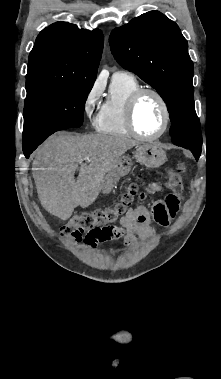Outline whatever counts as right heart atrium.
Instances as JSON below:
<instances>
[{
  "label": "right heart atrium",
  "instance_id": "obj_1",
  "mask_svg": "<svg viewBox=\"0 0 221 379\" xmlns=\"http://www.w3.org/2000/svg\"><path fill=\"white\" fill-rule=\"evenodd\" d=\"M103 89V84L100 81H95L88 89L83 101V111L88 117H91L99 108Z\"/></svg>",
  "mask_w": 221,
  "mask_h": 379
}]
</instances>
